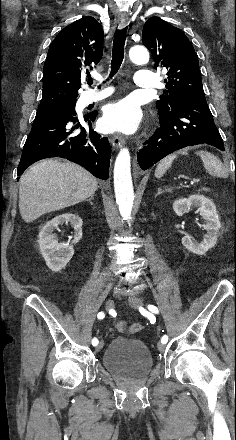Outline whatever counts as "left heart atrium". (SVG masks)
<instances>
[{"instance_id": "1", "label": "left heart atrium", "mask_w": 236, "mask_h": 440, "mask_svg": "<svg viewBox=\"0 0 236 440\" xmlns=\"http://www.w3.org/2000/svg\"><path fill=\"white\" fill-rule=\"evenodd\" d=\"M103 128L107 131L131 133L138 126V111L136 105L129 99L120 100L109 105L102 120Z\"/></svg>"}]
</instances>
